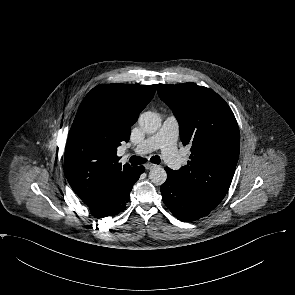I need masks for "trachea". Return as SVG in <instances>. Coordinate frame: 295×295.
<instances>
[{
	"label": "trachea",
	"mask_w": 295,
	"mask_h": 295,
	"mask_svg": "<svg viewBox=\"0 0 295 295\" xmlns=\"http://www.w3.org/2000/svg\"><path fill=\"white\" fill-rule=\"evenodd\" d=\"M129 162L131 163L132 166H136V165H141L147 162V159L142 158L140 156H132L129 160ZM150 162L154 163V164H160L161 160L159 156H152L150 158Z\"/></svg>",
	"instance_id": "obj_1"
}]
</instances>
